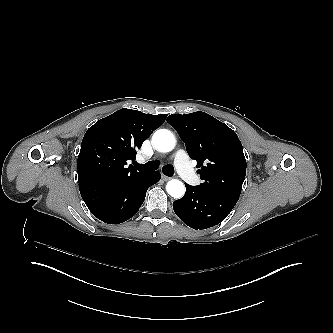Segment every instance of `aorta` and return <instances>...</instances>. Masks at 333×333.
<instances>
[{
  "label": "aorta",
  "instance_id": "aorta-1",
  "mask_svg": "<svg viewBox=\"0 0 333 333\" xmlns=\"http://www.w3.org/2000/svg\"><path fill=\"white\" fill-rule=\"evenodd\" d=\"M152 142L155 148L162 153L172 151L176 144L173 134L166 129L156 131L152 137ZM166 190L172 197L179 198L184 195L185 187L180 180L172 179L167 182Z\"/></svg>",
  "mask_w": 333,
  "mask_h": 333
}]
</instances>
